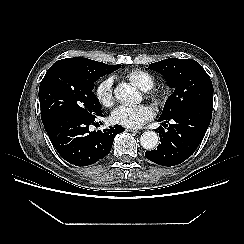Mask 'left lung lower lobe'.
Instances as JSON below:
<instances>
[{"label": "left lung lower lobe", "instance_id": "1", "mask_svg": "<svg viewBox=\"0 0 244 244\" xmlns=\"http://www.w3.org/2000/svg\"><path fill=\"white\" fill-rule=\"evenodd\" d=\"M212 118V110L203 107H190L174 115L158 119L163 126L172 119L174 124L168 130L158 128L161 144L157 149L145 152L150 161L163 166H175L188 159L201 143Z\"/></svg>", "mask_w": 244, "mask_h": 244}]
</instances>
